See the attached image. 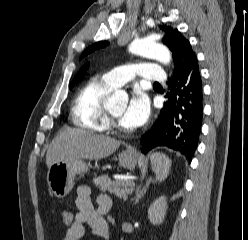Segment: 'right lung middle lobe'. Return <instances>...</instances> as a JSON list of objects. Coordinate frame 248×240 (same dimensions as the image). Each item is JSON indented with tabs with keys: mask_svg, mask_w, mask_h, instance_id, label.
<instances>
[{
	"mask_svg": "<svg viewBox=\"0 0 248 240\" xmlns=\"http://www.w3.org/2000/svg\"><path fill=\"white\" fill-rule=\"evenodd\" d=\"M74 84H75V82L71 83L70 88H72Z\"/></svg>",
	"mask_w": 248,
	"mask_h": 240,
	"instance_id": "1",
	"label": "right lung middle lobe"
}]
</instances>
